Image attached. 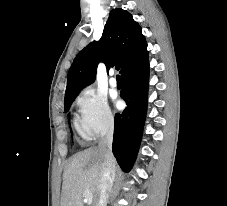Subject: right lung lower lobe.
<instances>
[{
  "label": "right lung lower lobe",
  "instance_id": "98d812e1",
  "mask_svg": "<svg viewBox=\"0 0 227 206\" xmlns=\"http://www.w3.org/2000/svg\"><path fill=\"white\" fill-rule=\"evenodd\" d=\"M122 77L121 97L127 107L115 114L112 151L121 169L128 172L137 156L147 111L148 57L127 69Z\"/></svg>",
  "mask_w": 227,
  "mask_h": 206
}]
</instances>
